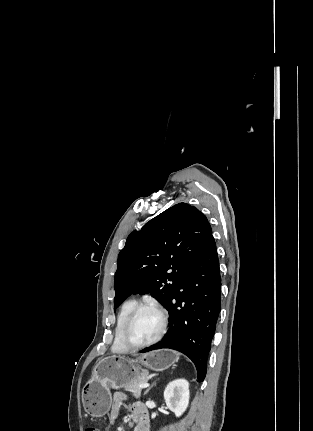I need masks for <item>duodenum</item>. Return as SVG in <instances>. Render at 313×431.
I'll return each mask as SVG.
<instances>
[{
    "mask_svg": "<svg viewBox=\"0 0 313 431\" xmlns=\"http://www.w3.org/2000/svg\"><path fill=\"white\" fill-rule=\"evenodd\" d=\"M133 421H134L135 423H137V422H138V418H137V417H134V418H133Z\"/></svg>",
    "mask_w": 313,
    "mask_h": 431,
    "instance_id": "410a0bca",
    "label": "duodenum"
}]
</instances>
